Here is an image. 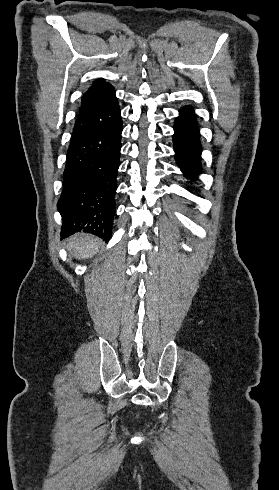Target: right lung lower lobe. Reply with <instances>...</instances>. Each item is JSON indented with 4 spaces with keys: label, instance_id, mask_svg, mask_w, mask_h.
<instances>
[{
    "label": "right lung lower lobe",
    "instance_id": "98d812e1",
    "mask_svg": "<svg viewBox=\"0 0 279 490\" xmlns=\"http://www.w3.org/2000/svg\"><path fill=\"white\" fill-rule=\"evenodd\" d=\"M122 129L119 120L96 135L70 143L57 204L63 219L61 238L80 231L106 241L111 238Z\"/></svg>",
    "mask_w": 279,
    "mask_h": 490
}]
</instances>
